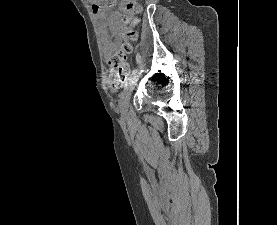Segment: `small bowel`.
Wrapping results in <instances>:
<instances>
[{"mask_svg":"<svg viewBox=\"0 0 277 225\" xmlns=\"http://www.w3.org/2000/svg\"><path fill=\"white\" fill-rule=\"evenodd\" d=\"M127 0H123L120 4V8L123 9L126 6ZM92 9L96 19L100 22L103 29H110L115 37V42H118L122 38L123 27L119 24V13L112 10L110 6H104L102 4L96 3L92 5ZM105 41L108 44L107 49L111 50V44L108 42V38L105 37ZM110 89L116 91L118 89L117 85H112L109 82Z\"/></svg>","mask_w":277,"mask_h":225,"instance_id":"small-bowel-1","label":"small bowel"}]
</instances>
